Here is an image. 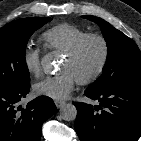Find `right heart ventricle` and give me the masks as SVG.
<instances>
[{
	"label": "right heart ventricle",
	"mask_w": 141,
	"mask_h": 141,
	"mask_svg": "<svg viewBox=\"0 0 141 141\" xmlns=\"http://www.w3.org/2000/svg\"><path fill=\"white\" fill-rule=\"evenodd\" d=\"M86 33L76 25L63 23L46 30L41 40L46 48L65 53Z\"/></svg>",
	"instance_id": "1"
}]
</instances>
